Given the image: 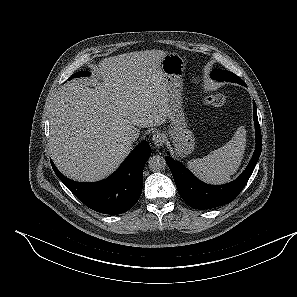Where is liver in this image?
Returning <instances> with one entry per match:
<instances>
[{"label": "liver", "mask_w": 297, "mask_h": 297, "mask_svg": "<svg viewBox=\"0 0 297 297\" xmlns=\"http://www.w3.org/2000/svg\"><path fill=\"white\" fill-rule=\"evenodd\" d=\"M168 52L145 50L102 60L94 88L64 85L50 116L49 150L68 178L94 182L114 172L132 150L129 128H147L170 117L161 61Z\"/></svg>", "instance_id": "1"}]
</instances>
